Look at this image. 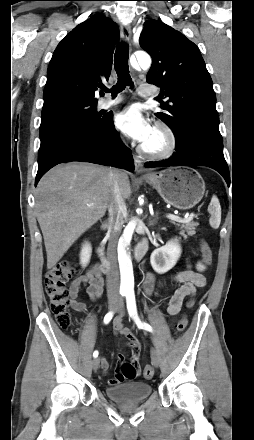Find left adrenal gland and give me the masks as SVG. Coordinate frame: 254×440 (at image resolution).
Wrapping results in <instances>:
<instances>
[{
	"label": "left adrenal gland",
	"mask_w": 254,
	"mask_h": 440,
	"mask_svg": "<svg viewBox=\"0 0 254 440\" xmlns=\"http://www.w3.org/2000/svg\"><path fill=\"white\" fill-rule=\"evenodd\" d=\"M156 223V219L151 220L149 219V226H153Z\"/></svg>",
	"instance_id": "a2214340"
}]
</instances>
